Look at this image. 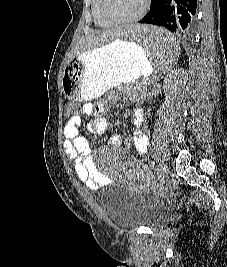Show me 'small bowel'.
Here are the masks:
<instances>
[{
    "instance_id": "1",
    "label": "small bowel",
    "mask_w": 227,
    "mask_h": 267,
    "mask_svg": "<svg viewBox=\"0 0 227 267\" xmlns=\"http://www.w3.org/2000/svg\"><path fill=\"white\" fill-rule=\"evenodd\" d=\"M103 103H85L81 107L80 113L77 116H71L63 130L66 155L74 161L75 172L88 188L98 190L107 183L108 177L101 173L95 162L90 157V147L88 140L79 133V126L83 120H89L87 128L94 134H103L108 129V120L100 114L105 112ZM134 131L127 140L136 152L140 155L145 154L148 147V138L141 130L143 125V115L140 110L132 112ZM122 141L120 135H113L111 143L118 146Z\"/></svg>"
}]
</instances>
